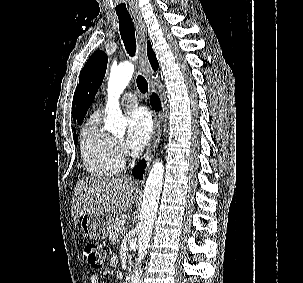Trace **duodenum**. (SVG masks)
Segmentation results:
<instances>
[{"instance_id": "duodenum-1", "label": "duodenum", "mask_w": 303, "mask_h": 283, "mask_svg": "<svg viewBox=\"0 0 303 283\" xmlns=\"http://www.w3.org/2000/svg\"><path fill=\"white\" fill-rule=\"evenodd\" d=\"M131 268H132V264H131V263H128V264L126 265V272H129V271L131 270Z\"/></svg>"}]
</instances>
